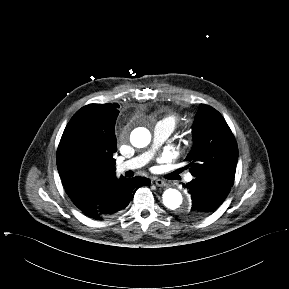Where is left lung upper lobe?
<instances>
[{
    "instance_id": "obj_1",
    "label": "left lung upper lobe",
    "mask_w": 289,
    "mask_h": 289,
    "mask_svg": "<svg viewBox=\"0 0 289 289\" xmlns=\"http://www.w3.org/2000/svg\"><path fill=\"white\" fill-rule=\"evenodd\" d=\"M192 134L194 146L185 161L195 178L212 179L230 186L234 183L238 148L222 115L211 106L201 104Z\"/></svg>"
}]
</instances>
